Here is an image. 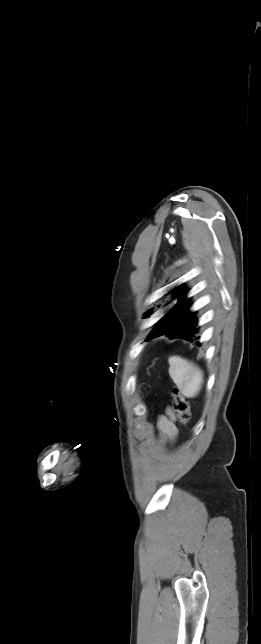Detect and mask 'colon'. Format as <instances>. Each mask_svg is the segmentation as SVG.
<instances>
[{"label":"colon","mask_w":261,"mask_h":644,"mask_svg":"<svg viewBox=\"0 0 261 644\" xmlns=\"http://www.w3.org/2000/svg\"><path fill=\"white\" fill-rule=\"evenodd\" d=\"M173 406L179 420L182 423H187L191 417V407L189 400L185 397L178 388L174 387L172 390Z\"/></svg>","instance_id":"5ec220e1"}]
</instances>
